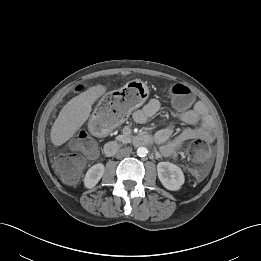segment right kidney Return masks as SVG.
Returning a JSON list of instances; mask_svg holds the SVG:
<instances>
[{"instance_id": "1", "label": "right kidney", "mask_w": 261, "mask_h": 261, "mask_svg": "<svg viewBox=\"0 0 261 261\" xmlns=\"http://www.w3.org/2000/svg\"><path fill=\"white\" fill-rule=\"evenodd\" d=\"M104 170L105 167L102 163L95 164L91 168H89V170L87 171L84 177L85 187L87 188L94 187L102 178Z\"/></svg>"}]
</instances>
